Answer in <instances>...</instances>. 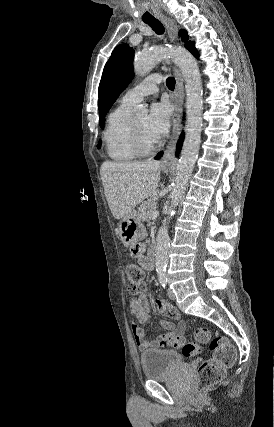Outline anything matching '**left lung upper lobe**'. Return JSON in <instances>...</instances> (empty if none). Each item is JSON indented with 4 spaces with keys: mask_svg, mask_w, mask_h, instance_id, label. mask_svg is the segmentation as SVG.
I'll return each mask as SVG.
<instances>
[{
    "mask_svg": "<svg viewBox=\"0 0 274 427\" xmlns=\"http://www.w3.org/2000/svg\"><path fill=\"white\" fill-rule=\"evenodd\" d=\"M179 36L185 42V48L191 50L194 42L187 41L185 30L179 31ZM134 50L128 44L118 45L107 61L99 85V115L100 127L104 128L105 115L111 108L119 94L133 79Z\"/></svg>",
    "mask_w": 274,
    "mask_h": 427,
    "instance_id": "obj_1",
    "label": "left lung upper lobe"
}]
</instances>
